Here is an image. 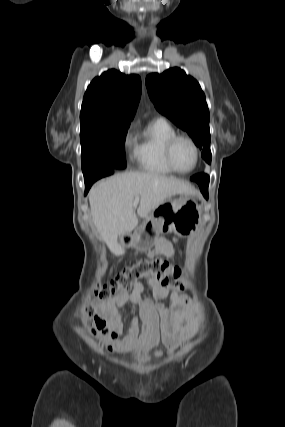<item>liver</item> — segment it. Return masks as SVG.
Wrapping results in <instances>:
<instances>
[{
	"label": "liver",
	"mask_w": 285,
	"mask_h": 427,
	"mask_svg": "<svg viewBox=\"0 0 285 427\" xmlns=\"http://www.w3.org/2000/svg\"><path fill=\"white\" fill-rule=\"evenodd\" d=\"M176 194L194 195L195 190L176 178L152 172H127L98 182L89 193L94 225L111 252L119 253L118 236L138 225L134 200L140 202L137 214L146 218Z\"/></svg>",
	"instance_id": "liver-1"
}]
</instances>
